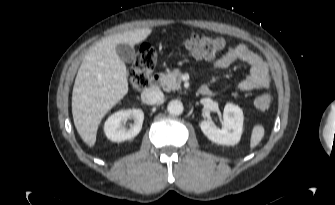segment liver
<instances>
[{"mask_svg":"<svg viewBox=\"0 0 335 205\" xmlns=\"http://www.w3.org/2000/svg\"><path fill=\"white\" fill-rule=\"evenodd\" d=\"M151 32L150 28H142L117 33L96 43L85 55L73 87L72 115L80 137L89 147L95 145L102 118L128 93L126 65L117 55L116 46H133Z\"/></svg>","mask_w":335,"mask_h":205,"instance_id":"liver-1","label":"liver"}]
</instances>
